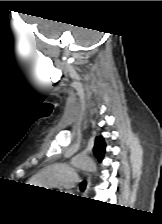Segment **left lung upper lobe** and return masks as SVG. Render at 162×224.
<instances>
[{"label": "left lung upper lobe", "instance_id": "1", "mask_svg": "<svg viewBox=\"0 0 162 224\" xmlns=\"http://www.w3.org/2000/svg\"><path fill=\"white\" fill-rule=\"evenodd\" d=\"M105 142L102 137H97L95 141V146L93 148L94 155L101 161L105 152Z\"/></svg>", "mask_w": 162, "mask_h": 224}]
</instances>
